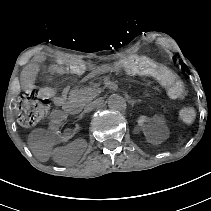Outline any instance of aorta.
I'll list each match as a JSON object with an SVG mask.
<instances>
[{"label": "aorta", "instance_id": "1", "mask_svg": "<svg viewBox=\"0 0 211 211\" xmlns=\"http://www.w3.org/2000/svg\"><path fill=\"white\" fill-rule=\"evenodd\" d=\"M107 103L109 108L114 110H123L126 107L125 99L118 94L109 96Z\"/></svg>", "mask_w": 211, "mask_h": 211}]
</instances>
